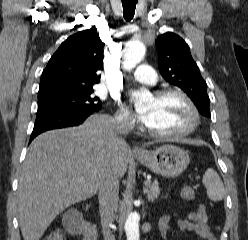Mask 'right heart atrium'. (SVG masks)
Wrapping results in <instances>:
<instances>
[{
	"instance_id": "1",
	"label": "right heart atrium",
	"mask_w": 248,
	"mask_h": 240,
	"mask_svg": "<svg viewBox=\"0 0 248 240\" xmlns=\"http://www.w3.org/2000/svg\"><path fill=\"white\" fill-rule=\"evenodd\" d=\"M116 121L125 127H132L134 125V120L129 112L119 105L116 112Z\"/></svg>"
}]
</instances>
